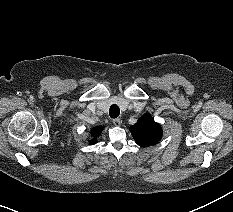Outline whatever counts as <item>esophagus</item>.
<instances>
[{"mask_svg": "<svg viewBox=\"0 0 233 212\" xmlns=\"http://www.w3.org/2000/svg\"><path fill=\"white\" fill-rule=\"evenodd\" d=\"M122 123V120L120 118L113 119V124L115 126H120Z\"/></svg>", "mask_w": 233, "mask_h": 212, "instance_id": "34e87169", "label": "esophagus"}]
</instances>
